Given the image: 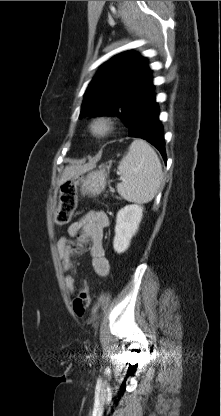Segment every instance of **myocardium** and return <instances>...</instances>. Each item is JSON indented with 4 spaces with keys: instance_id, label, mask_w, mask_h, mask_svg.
Wrapping results in <instances>:
<instances>
[{
    "instance_id": "1",
    "label": "myocardium",
    "mask_w": 221,
    "mask_h": 416,
    "mask_svg": "<svg viewBox=\"0 0 221 416\" xmlns=\"http://www.w3.org/2000/svg\"><path fill=\"white\" fill-rule=\"evenodd\" d=\"M113 129V120L105 115L93 118L89 126L90 133L96 138H104L108 136Z\"/></svg>"
}]
</instances>
